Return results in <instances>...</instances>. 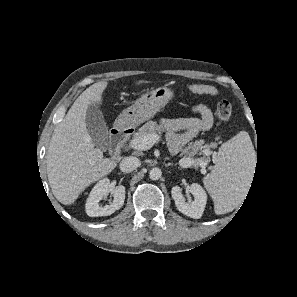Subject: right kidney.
I'll use <instances>...</instances> for the list:
<instances>
[{"label":"right kidney","instance_id":"1","mask_svg":"<svg viewBox=\"0 0 297 297\" xmlns=\"http://www.w3.org/2000/svg\"><path fill=\"white\" fill-rule=\"evenodd\" d=\"M114 197L111 204L103 207L99 206V201L103 199L108 193ZM125 187L119 185L111 187L110 180L107 178L101 179L92 189L86 201V213L90 217L108 216L119 210L124 204Z\"/></svg>","mask_w":297,"mask_h":297}]
</instances>
